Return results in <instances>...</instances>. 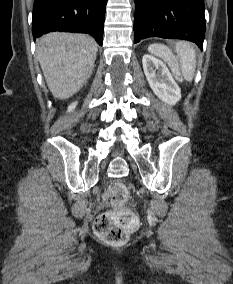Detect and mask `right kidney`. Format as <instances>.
I'll use <instances>...</instances> for the list:
<instances>
[{
    "instance_id": "ca27d5eb",
    "label": "right kidney",
    "mask_w": 233,
    "mask_h": 284,
    "mask_svg": "<svg viewBox=\"0 0 233 284\" xmlns=\"http://www.w3.org/2000/svg\"><path fill=\"white\" fill-rule=\"evenodd\" d=\"M76 105H77V102H73V103L68 107V112L73 111V110L75 109Z\"/></svg>"
}]
</instances>
